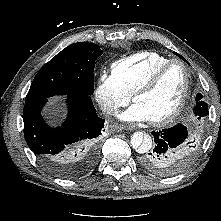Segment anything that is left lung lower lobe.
<instances>
[{
	"label": "left lung lower lobe",
	"instance_id": "0a47b994",
	"mask_svg": "<svg viewBox=\"0 0 221 221\" xmlns=\"http://www.w3.org/2000/svg\"><path fill=\"white\" fill-rule=\"evenodd\" d=\"M155 147L145 153L140 163L158 176H172L185 169L193 155L197 139L183 124L151 133Z\"/></svg>",
	"mask_w": 221,
	"mask_h": 221
}]
</instances>
